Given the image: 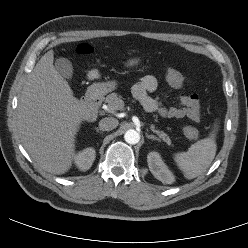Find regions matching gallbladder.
Masks as SVG:
<instances>
[{
  "instance_id": "1",
  "label": "gallbladder",
  "mask_w": 248,
  "mask_h": 248,
  "mask_svg": "<svg viewBox=\"0 0 248 248\" xmlns=\"http://www.w3.org/2000/svg\"><path fill=\"white\" fill-rule=\"evenodd\" d=\"M56 70L65 78L71 79L73 75V67L67 58H58L55 61Z\"/></svg>"
}]
</instances>
